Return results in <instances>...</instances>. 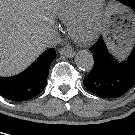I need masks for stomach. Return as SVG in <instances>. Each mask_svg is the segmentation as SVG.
I'll return each mask as SVG.
<instances>
[{
  "label": "stomach",
  "mask_w": 135,
  "mask_h": 135,
  "mask_svg": "<svg viewBox=\"0 0 135 135\" xmlns=\"http://www.w3.org/2000/svg\"><path fill=\"white\" fill-rule=\"evenodd\" d=\"M120 21H116L117 18ZM108 41L113 48L128 47L134 33L130 18L121 11L108 10L105 18ZM115 42L117 45H115Z\"/></svg>",
  "instance_id": "0dacf381"
}]
</instances>
